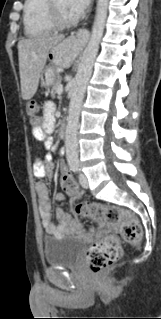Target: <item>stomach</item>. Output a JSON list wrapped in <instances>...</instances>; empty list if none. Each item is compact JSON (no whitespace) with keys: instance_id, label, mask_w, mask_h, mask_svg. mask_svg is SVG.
Returning <instances> with one entry per match:
<instances>
[{"instance_id":"stomach-1","label":"stomach","mask_w":161,"mask_h":319,"mask_svg":"<svg viewBox=\"0 0 161 319\" xmlns=\"http://www.w3.org/2000/svg\"><path fill=\"white\" fill-rule=\"evenodd\" d=\"M77 49L76 42L69 38L52 47L48 53L50 65L40 75V83L43 87H49L55 81V69L67 67L72 61V56Z\"/></svg>"}]
</instances>
